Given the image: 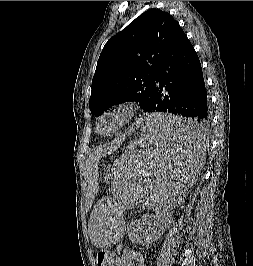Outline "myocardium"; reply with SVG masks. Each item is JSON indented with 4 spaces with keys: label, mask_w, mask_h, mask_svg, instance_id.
I'll use <instances>...</instances> for the list:
<instances>
[{
    "label": "myocardium",
    "mask_w": 253,
    "mask_h": 266,
    "mask_svg": "<svg viewBox=\"0 0 253 266\" xmlns=\"http://www.w3.org/2000/svg\"><path fill=\"white\" fill-rule=\"evenodd\" d=\"M139 107L137 103L131 100H125L118 102L114 105H111L104 109L98 116L97 122H96V130L97 132L104 137H111L116 134H118L120 131H122L124 128H126L135 118L137 111ZM110 114H118L121 118L119 125L110 133L103 134L99 131V125L101 120Z\"/></svg>",
    "instance_id": "obj_1"
}]
</instances>
